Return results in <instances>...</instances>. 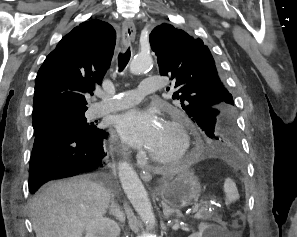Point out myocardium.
<instances>
[{"mask_svg":"<svg viewBox=\"0 0 297 237\" xmlns=\"http://www.w3.org/2000/svg\"><path fill=\"white\" fill-rule=\"evenodd\" d=\"M165 125L176 132L180 139V148L178 152L171 156H158L149 153V158L158 165H169L183 160L190 152L191 137L187 128V122L181 115H176L173 118L167 119Z\"/></svg>","mask_w":297,"mask_h":237,"instance_id":"f54148a6","label":"myocardium"}]
</instances>
